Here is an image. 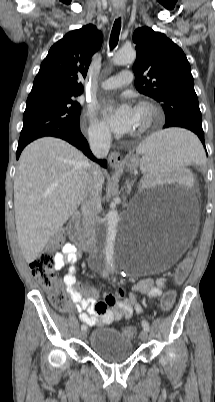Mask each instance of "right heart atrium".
Here are the masks:
<instances>
[{"label": "right heart atrium", "instance_id": "d8ad5b80", "mask_svg": "<svg viewBox=\"0 0 215 402\" xmlns=\"http://www.w3.org/2000/svg\"><path fill=\"white\" fill-rule=\"evenodd\" d=\"M87 122V134L89 139L98 144H105L111 138V133L105 123L100 121L92 110H87L84 114Z\"/></svg>", "mask_w": 215, "mask_h": 402}]
</instances>
